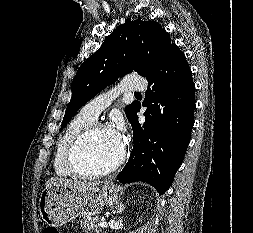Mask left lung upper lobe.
Masks as SVG:
<instances>
[{"label": "left lung upper lobe", "mask_w": 253, "mask_h": 233, "mask_svg": "<svg viewBox=\"0 0 253 233\" xmlns=\"http://www.w3.org/2000/svg\"><path fill=\"white\" fill-rule=\"evenodd\" d=\"M173 45L169 34L157 22L126 19L79 67L71 85L72 97L61 128L87 101L106 86L114 84L118 77L132 71L143 77L150 74ZM136 104L133 102L125 108L129 121Z\"/></svg>", "instance_id": "left-lung-upper-lobe-1"}]
</instances>
